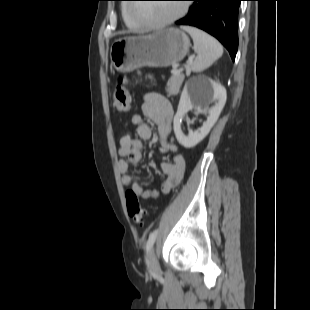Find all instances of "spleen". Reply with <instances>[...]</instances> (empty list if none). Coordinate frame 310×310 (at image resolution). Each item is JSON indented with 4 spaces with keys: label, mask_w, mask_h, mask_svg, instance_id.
Listing matches in <instances>:
<instances>
[{
    "label": "spleen",
    "mask_w": 310,
    "mask_h": 310,
    "mask_svg": "<svg viewBox=\"0 0 310 310\" xmlns=\"http://www.w3.org/2000/svg\"><path fill=\"white\" fill-rule=\"evenodd\" d=\"M182 29L191 35L194 42V51L197 53L191 63L194 72L204 71L222 56L223 47L214 37L195 27L183 26Z\"/></svg>",
    "instance_id": "obj_1"
}]
</instances>
